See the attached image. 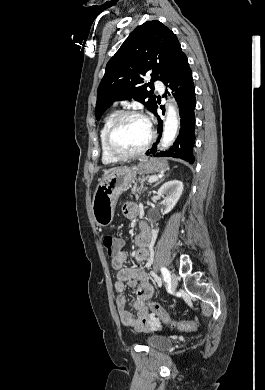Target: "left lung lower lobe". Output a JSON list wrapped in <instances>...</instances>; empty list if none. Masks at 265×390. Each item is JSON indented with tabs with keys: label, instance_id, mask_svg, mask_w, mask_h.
<instances>
[{
	"label": "left lung lower lobe",
	"instance_id": "obj_1",
	"mask_svg": "<svg viewBox=\"0 0 265 390\" xmlns=\"http://www.w3.org/2000/svg\"><path fill=\"white\" fill-rule=\"evenodd\" d=\"M172 91L178 102L179 114L181 118V128L179 135L168 150L164 152L157 151V144L161 138L163 121L157 114L158 105L154 109L153 113L158 119V131L159 137L153 148L147 151V155L154 157H174L180 158L187 162L193 163L194 156L192 153L193 144L195 141L194 126H195V88L192 79V72L188 64L186 55L182 52L177 58L174 66L172 67L169 75L163 81ZM167 93V90H166ZM164 111V107L161 106Z\"/></svg>",
	"mask_w": 265,
	"mask_h": 390
}]
</instances>
